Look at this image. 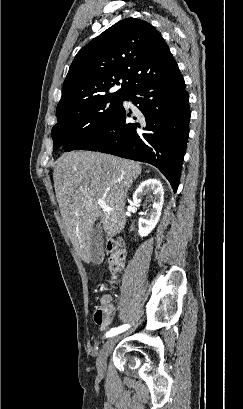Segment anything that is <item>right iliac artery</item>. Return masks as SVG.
Masks as SVG:
<instances>
[{
    "mask_svg": "<svg viewBox=\"0 0 243 409\" xmlns=\"http://www.w3.org/2000/svg\"><path fill=\"white\" fill-rule=\"evenodd\" d=\"M130 326L128 324L119 326L117 328H112L110 329L107 333H106V337H112L115 336L121 332H124L125 330H127Z\"/></svg>",
    "mask_w": 243,
    "mask_h": 409,
    "instance_id": "82829eb1",
    "label": "right iliac artery"
}]
</instances>
